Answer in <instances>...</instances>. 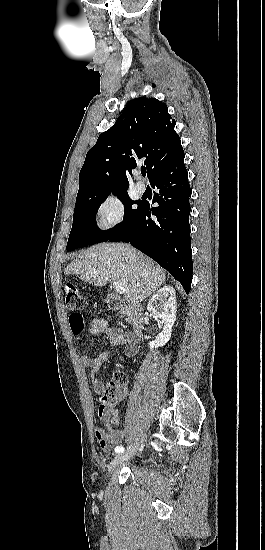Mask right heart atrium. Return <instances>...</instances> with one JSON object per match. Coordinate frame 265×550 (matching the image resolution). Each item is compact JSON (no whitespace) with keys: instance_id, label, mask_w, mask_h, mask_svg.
Listing matches in <instances>:
<instances>
[{"instance_id":"1","label":"right heart atrium","mask_w":265,"mask_h":550,"mask_svg":"<svg viewBox=\"0 0 265 550\" xmlns=\"http://www.w3.org/2000/svg\"><path fill=\"white\" fill-rule=\"evenodd\" d=\"M97 215L101 229L112 230L124 221L125 204L120 196L110 194L99 205Z\"/></svg>"}]
</instances>
